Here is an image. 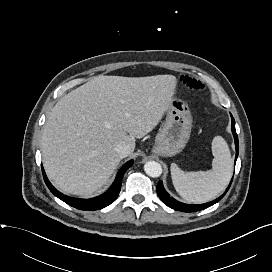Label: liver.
Wrapping results in <instances>:
<instances>
[{
    "instance_id": "1",
    "label": "liver",
    "mask_w": 272,
    "mask_h": 272,
    "mask_svg": "<svg viewBox=\"0 0 272 272\" xmlns=\"http://www.w3.org/2000/svg\"><path fill=\"white\" fill-rule=\"evenodd\" d=\"M173 75H99L61 98L44 126L41 151L51 182L66 194L89 197L120 163L114 148L152 131L173 100Z\"/></svg>"
}]
</instances>
